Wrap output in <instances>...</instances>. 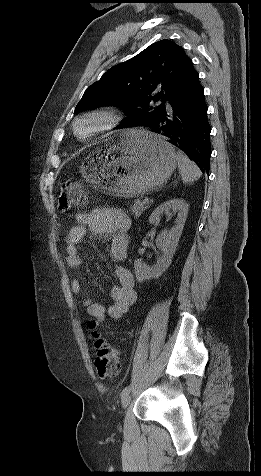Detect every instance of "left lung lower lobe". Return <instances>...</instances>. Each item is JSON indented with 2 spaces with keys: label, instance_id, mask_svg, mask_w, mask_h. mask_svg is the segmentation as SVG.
Instances as JSON below:
<instances>
[{
  "label": "left lung lower lobe",
  "instance_id": "left-lung-lower-lobe-1",
  "mask_svg": "<svg viewBox=\"0 0 261 476\" xmlns=\"http://www.w3.org/2000/svg\"><path fill=\"white\" fill-rule=\"evenodd\" d=\"M207 110L199 74L194 69L181 89L169 99L167 106L142 126L155 129L156 133L209 173L211 127Z\"/></svg>",
  "mask_w": 261,
  "mask_h": 476
}]
</instances>
